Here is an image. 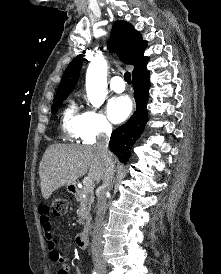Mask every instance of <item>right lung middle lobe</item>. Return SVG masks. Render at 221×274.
<instances>
[{
    "instance_id": "right-lung-middle-lobe-1",
    "label": "right lung middle lobe",
    "mask_w": 221,
    "mask_h": 274,
    "mask_svg": "<svg viewBox=\"0 0 221 274\" xmlns=\"http://www.w3.org/2000/svg\"><path fill=\"white\" fill-rule=\"evenodd\" d=\"M69 94L60 95L54 98L53 105L51 108L52 114L57 113L58 109L61 107L63 101L68 97Z\"/></svg>"
}]
</instances>
